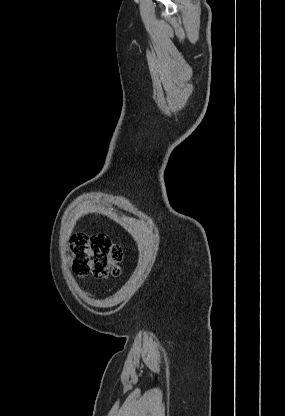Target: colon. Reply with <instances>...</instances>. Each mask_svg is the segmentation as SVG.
<instances>
[{"mask_svg": "<svg viewBox=\"0 0 285 416\" xmlns=\"http://www.w3.org/2000/svg\"><path fill=\"white\" fill-rule=\"evenodd\" d=\"M69 250L73 272L78 276L104 278L120 273L122 248L107 235L76 234L71 238Z\"/></svg>", "mask_w": 285, "mask_h": 416, "instance_id": "1", "label": "colon"}]
</instances>
